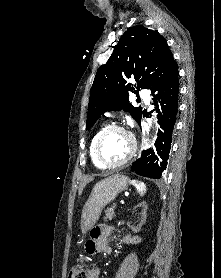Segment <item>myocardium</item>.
<instances>
[{
    "mask_svg": "<svg viewBox=\"0 0 221 278\" xmlns=\"http://www.w3.org/2000/svg\"><path fill=\"white\" fill-rule=\"evenodd\" d=\"M114 131H121V132L125 133L126 135H128V137L131 140V150L125 159H123L122 161H120L118 163L110 164V163L105 162L103 160V158L101 157L100 147H101L103 139L109 133L114 132ZM136 151H137V141H136L134 134L130 130H128L126 127L121 126V125H111V126L106 127L99 134V136L97 137V139L95 141V145H94V155H95L96 160L103 168H107V169H116V168L125 166L127 163H129L133 159V157L136 154Z\"/></svg>",
    "mask_w": 221,
    "mask_h": 278,
    "instance_id": "obj_1",
    "label": "myocardium"
}]
</instances>
